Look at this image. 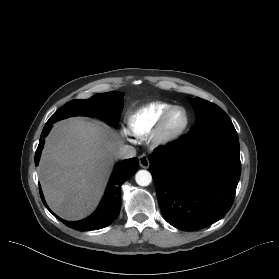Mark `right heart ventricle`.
I'll return each instance as SVG.
<instances>
[{
    "label": "right heart ventricle",
    "mask_w": 279,
    "mask_h": 279,
    "mask_svg": "<svg viewBox=\"0 0 279 279\" xmlns=\"http://www.w3.org/2000/svg\"><path fill=\"white\" fill-rule=\"evenodd\" d=\"M171 106L166 102H151L142 106L127 119L129 133L137 137L147 136L154 129L161 115Z\"/></svg>",
    "instance_id": "obj_1"
}]
</instances>
